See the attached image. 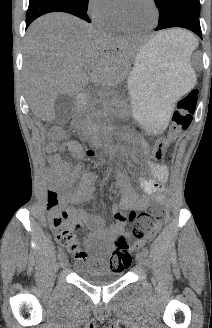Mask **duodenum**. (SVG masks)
I'll return each instance as SVG.
<instances>
[{"label": "duodenum", "mask_w": 212, "mask_h": 328, "mask_svg": "<svg viewBox=\"0 0 212 328\" xmlns=\"http://www.w3.org/2000/svg\"><path fill=\"white\" fill-rule=\"evenodd\" d=\"M88 97H89V93H88V92L84 93L83 98H84V99H87ZM80 108H81V102H79V103L76 105L74 112H75V113H78V112L80 111Z\"/></svg>", "instance_id": "410a0bca"}]
</instances>
